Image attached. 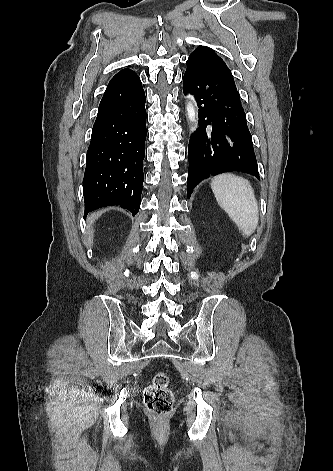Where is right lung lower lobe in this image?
I'll return each instance as SVG.
<instances>
[{
  "label": "right lung lower lobe",
  "instance_id": "obj_1",
  "mask_svg": "<svg viewBox=\"0 0 333 471\" xmlns=\"http://www.w3.org/2000/svg\"><path fill=\"white\" fill-rule=\"evenodd\" d=\"M145 93L136 73L108 85L99 105L86 156L84 217L120 205L137 214L144 181Z\"/></svg>",
  "mask_w": 333,
  "mask_h": 471
}]
</instances>
